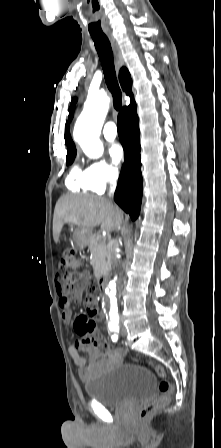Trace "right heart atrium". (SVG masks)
Here are the masks:
<instances>
[{"label":"right heart atrium","mask_w":221,"mask_h":448,"mask_svg":"<svg viewBox=\"0 0 221 448\" xmlns=\"http://www.w3.org/2000/svg\"><path fill=\"white\" fill-rule=\"evenodd\" d=\"M84 176L88 189L100 193L117 183L119 171L105 160H95L89 163Z\"/></svg>","instance_id":"obj_1"}]
</instances>
